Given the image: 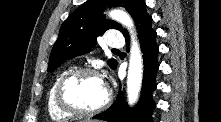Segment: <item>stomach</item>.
<instances>
[{"mask_svg": "<svg viewBox=\"0 0 221 122\" xmlns=\"http://www.w3.org/2000/svg\"><path fill=\"white\" fill-rule=\"evenodd\" d=\"M82 122H93V121L85 120V121H82Z\"/></svg>", "mask_w": 221, "mask_h": 122, "instance_id": "1", "label": "stomach"}]
</instances>
